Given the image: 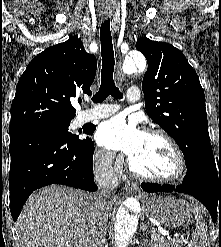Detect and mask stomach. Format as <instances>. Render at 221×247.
Listing matches in <instances>:
<instances>
[{"instance_id":"0dacf381","label":"stomach","mask_w":221,"mask_h":247,"mask_svg":"<svg viewBox=\"0 0 221 247\" xmlns=\"http://www.w3.org/2000/svg\"><path fill=\"white\" fill-rule=\"evenodd\" d=\"M151 215L167 227L176 228L190 216L188 204L175 196L146 199Z\"/></svg>"}]
</instances>
